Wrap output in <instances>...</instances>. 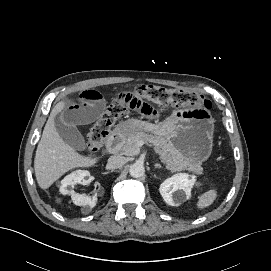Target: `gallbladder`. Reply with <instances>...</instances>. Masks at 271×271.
<instances>
[{"label":"gallbladder","mask_w":271,"mask_h":271,"mask_svg":"<svg viewBox=\"0 0 271 271\" xmlns=\"http://www.w3.org/2000/svg\"><path fill=\"white\" fill-rule=\"evenodd\" d=\"M56 129L65 143L76 150L83 151L87 145L84 137L74 125H69L64 120V116L55 117Z\"/></svg>","instance_id":"gallbladder-1"}]
</instances>
